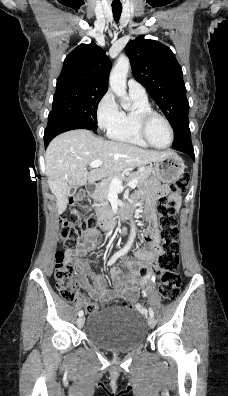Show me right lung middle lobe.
Segmentation results:
<instances>
[{
    "instance_id": "right-lung-middle-lobe-1",
    "label": "right lung middle lobe",
    "mask_w": 228,
    "mask_h": 396,
    "mask_svg": "<svg viewBox=\"0 0 228 396\" xmlns=\"http://www.w3.org/2000/svg\"><path fill=\"white\" fill-rule=\"evenodd\" d=\"M106 91L78 86L56 87L49 117H65L97 130V106Z\"/></svg>"
}]
</instances>
